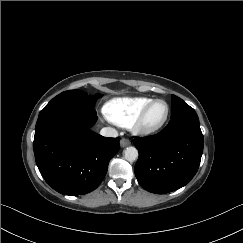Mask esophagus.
Returning a JSON list of instances; mask_svg holds the SVG:
<instances>
[{"label": "esophagus", "instance_id": "1", "mask_svg": "<svg viewBox=\"0 0 243 243\" xmlns=\"http://www.w3.org/2000/svg\"><path fill=\"white\" fill-rule=\"evenodd\" d=\"M130 144H131V142L126 138H122L120 140V146L121 147H126V146H129Z\"/></svg>", "mask_w": 243, "mask_h": 243}]
</instances>
